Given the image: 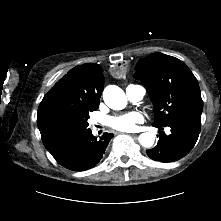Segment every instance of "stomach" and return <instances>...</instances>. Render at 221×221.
I'll return each mask as SVG.
<instances>
[{
  "instance_id": "obj_1",
  "label": "stomach",
  "mask_w": 221,
  "mask_h": 221,
  "mask_svg": "<svg viewBox=\"0 0 221 221\" xmlns=\"http://www.w3.org/2000/svg\"><path fill=\"white\" fill-rule=\"evenodd\" d=\"M132 72V64L128 60H121L109 67V74L113 78L124 79Z\"/></svg>"
}]
</instances>
